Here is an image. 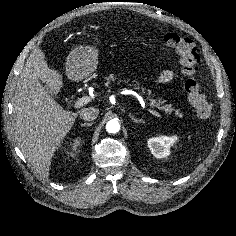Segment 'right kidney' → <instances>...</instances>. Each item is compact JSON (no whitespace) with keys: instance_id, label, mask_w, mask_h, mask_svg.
Here are the masks:
<instances>
[{"instance_id":"1","label":"right kidney","mask_w":236,"mask_h":236,"mask_svg":"<svg viewBox=\"0 0 236 236\" xmlns=\"http://www.w3.org/2000/svg\"><path fill=\"white\" fill-rule=\"evenodd\" d=\"M79 145H80V139L77 138V139H75L74 142L71 144L72 150H76Z\"/></svg>"}]
</instances>
